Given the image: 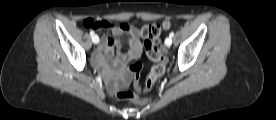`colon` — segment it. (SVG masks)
<instances>
[{
    "instance_id": "obj_1",
    "label": "colon",
    "mask_w": 276,
    "mask_h": 120,
    "mask_svg": "<svg viewBox=\"0 0 276 120\" xmlns=\"http://www.w3.org/2000/svg\"><path fill=\"white\" fill-rule=\"evenodd\" d=\"M83 25L87 28L99 27L98 21L93 19H86L83 21ZM171 23L166 20L162 25L152 23L143 26L140 30V35L144 39V45L146 54L152 61L155 62L150 73L148 74L143 85L140 84V72L142 70V63L140 61H133L129 69L133 75L134 84L137 90L147 92L151 90L156 84L157 80L164 74L167 65V58L161 48V32L162 29H169ZM118 99L131 100L134 103L145 106L149 104L148 98L138 97L129 90H120L116 94Z\"/></svg>"
}]
</instances>
